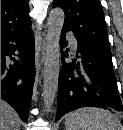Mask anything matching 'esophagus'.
<instances>
[{"mask_svg":"<svg viewBox=\"0 0 123 130\" xmlns=\"http://www.w3.org/2000/svg\"><path fill=\"white\" fill-rule=\"evenodd\" d=\"M46 40H47V36L44 37L43 44H42V48H41V62L44 61V57H45Z\"/></svg>","mask_w":123,"mask_h":130,"instance_id":"1","label":"esophagus"}]
</instances>
